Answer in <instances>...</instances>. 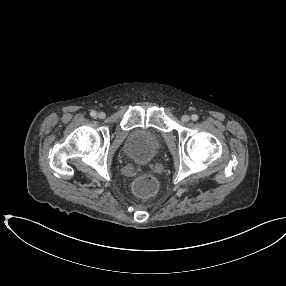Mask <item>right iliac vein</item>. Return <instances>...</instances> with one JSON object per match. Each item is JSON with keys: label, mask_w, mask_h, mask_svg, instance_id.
Listing matches in <instances>:
<instances>
[{"label": "right iliac vein", "mask_w": 286, "mask_h": 286, "mask_svg": "<svg viewBox=\"0 0 286 286\" xmlns=\"http://www.w3.org/2000/svg\"><path fill=\"white\" fill-rule=\"evenodd\" d=\"M104 117H105V113L104 112L98 113V118L103 119Z\"/></svg>", "instance_id": "1"}]
</instances>
